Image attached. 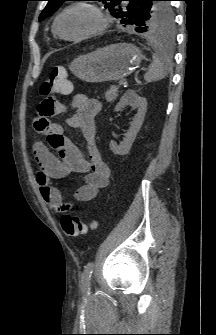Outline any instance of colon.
<instances>
[{
  "instance_id": "colon-1",
  "label": "colon",
  "mask_w": 216,
  "mask_h": 335,
  "mask_svg": "<svg viewBox=\"0 0 216 335\" xmlns=\"http://www.w3.org/2000/svg\"><path fill=\"white\" fill-rule=\"evenodd\" d=\"M70 91L71 84L67 78V71L63 66L54 67L40 86V94L45 98L47 94L69 93ZM60 224L65 235L69 237L84 235L97 227L95 218L83 220L79 216L71 214L63 215Z\"/></svg>"
}]
</instances>
